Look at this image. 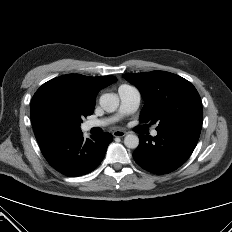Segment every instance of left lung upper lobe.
I'll list each match as a JSON object with an SVG mask.
<instances>
[{"instance_id":"obj_1","label":"left lung upper lobe","mask_w":232,"mask_h":232,"mask_svg":"<svg viewBox=\"0 0 232 232\" xmlns=\"http://www.w3.org/2000/svg\"><path fill=\"white\" fill-rule=\"evenodd\" d=\"M140 91L146 104L140 122H159L157 129L174 125H202L200 96L186 79L165 71L124 74Z\"/></svg>"}]
</instances>
